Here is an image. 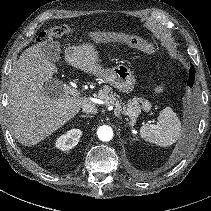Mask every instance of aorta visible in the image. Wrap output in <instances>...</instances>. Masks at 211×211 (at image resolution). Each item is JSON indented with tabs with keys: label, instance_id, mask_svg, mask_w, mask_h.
Returning a JSON list of instances; mask_svg holds the SVG:
<instances>
[{
	"label": "aorta",
	"instance_id": "aorta-1",
	"mask_svg": "<svg viewBox=\"0 0 211 211\" xmlns=\"http://www.w3.org/2000/svg\"><path fill=\"white\" fill-rule=\"evenodd\" d=\"M97 135L101 141L107 142L113 138V130L111 127L103 125L98 128Z\"/></svg>",
	"mask_w": 211,
	"mask_h": 211
}]
</instances>
